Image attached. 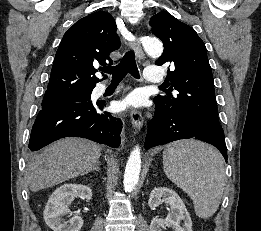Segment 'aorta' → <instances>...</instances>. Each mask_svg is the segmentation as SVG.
Returning a JSON list of instances; mask_svg holds the SVG:
<instances>
[{"instance_id":"aorta-1","label":"aorta","mask_w":261,"mask_h":231,"mask_svg":"<svg viewBox=\"0 0 261 231\" xmlns=\"http://www.w3.org/2000/svg\"><path fill=\"white\" fill-rule=\"evenodd\" d=\"M146 53L151 57H159L163 52V45L159 41H149L144 45ZM141 170V152L136 146L128 158L124 173L125 192H132L136 187Z\"/></svg>"}]
</instances>
